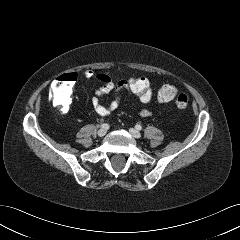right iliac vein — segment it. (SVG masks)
I'll return each instance as SVG.
<instances>
[{"label":"right iliac vein","mask_w":240,"mask_h":240,"mask_svg":"<svg viewBox=\"0 0 240 240\" xmlns=\"http://www.w3.org/2000/svg\"><path fill=\"white\" fill-rule=\"evenodd\" d=\"M106 129L105 128H101L98 130L97 134L99 137H103L106 134Z\"/></svg>","instance_id":"1"}]
</instances>
